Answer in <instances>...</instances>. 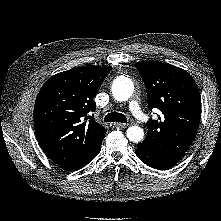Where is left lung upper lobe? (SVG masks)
<instances>
[{"label": "left lung upper lobe", "instance_id": "left-lung-upper-lobe-1", "mask_svg": "<svg viewBox=\"0 0 221 221\" xmlns=\"http://www.w3.org/2000/svg\"><path fill=\"white\" fill-rule=\"evenodd\" d=\"M147 90L148 108L162 117L147 122L146 148L180 160L193 142L201 117V99L192 76L185 70L153 61L135 63Z\"/></svg>", "mask_w": 221, "mask_h": 221}]
</instances>
